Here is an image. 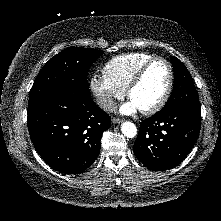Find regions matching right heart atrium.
<instances>
[{"label":"right heart atrium","instance_id":"d8ad5b80","mask_svg":"<svg viewBox=\"0 0 221 221\" xmlns=\"http://www.w3.org/2000/svg\"><path fill=\"white\" fill-rule=\"evenodd\" d=\"M90 89L98 105L106 110H111L116 100L124 96V90L116 86L105 75H94L90 80Z\"/></svg>","mask_w":221,"mask_h":221}]
</instances>
